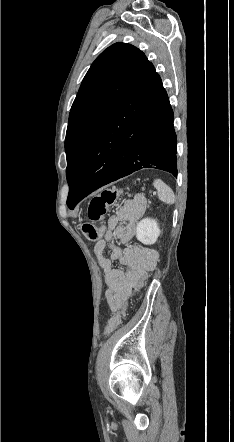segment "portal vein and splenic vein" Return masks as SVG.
Masks as SVG:
<instances>
[{
    "mask_svg": "<svg viewBox=\"0 0 234 442\" xmlns=\"http://www.w3.org/2000/svg\"><path fill=\"white\" fill-rule=\"evenodd\" d=\"M153 195H156V192H153Z\"/></svg>",
    "mask_w": 234,
    "mask_h": 442,
    "instance_id": "18ae733b",
    "label": "portal vein and splenic vein"
}]
</instances>
